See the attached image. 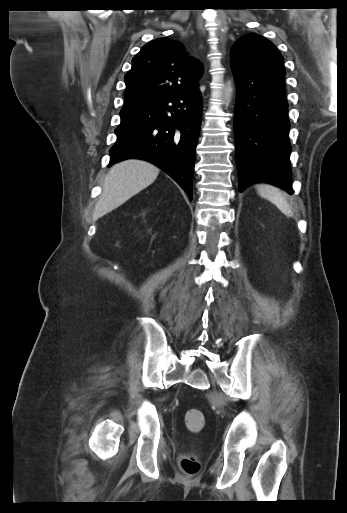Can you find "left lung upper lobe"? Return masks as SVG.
<instances>
[{
    "instance_id": "5c2ea615",
    "label": "left lung upper lobe",
    "mask_w": 347,
    "mask_h": 513,
    "mask_svg": "<svg viewBox=\"0 0 347 513\" xmlns=\"http://www.w3.org/2000/svg\"><path fill=\"white\" fill-rule=\"evenodd\" d=\"M231 67L252 73L285 75L283 57L276 47L258 34H247L237 40L231 49Z\"/></svg>"
}]
</instances>
